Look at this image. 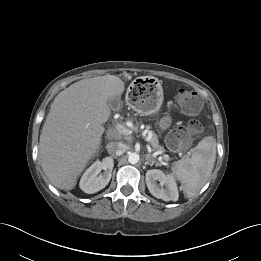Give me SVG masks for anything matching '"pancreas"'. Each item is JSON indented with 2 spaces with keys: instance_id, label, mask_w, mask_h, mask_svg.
I'll use <instances>...</instances> for the list:
<instances>
[{
  "instance_id": "obj_1",
  "label": "pancreas",
  "mask_w": 261,
  "mask_h": 261,
  "mask_svg": "<svg viewBox=\"0 0 261 261\" xmlns=\"http://www.w3.org/2000/svg\"><path fill=\"white\" fill-rule=\"evenodd\" d=\"M147 129H150V127L147 126ZM147 137L150 138L149 142H150V144L152 146V150L154 152H160V153L165 152L164 147L159 144L158 137L154 132L148 131ZM162 158L166 161H168L170 159L169 157H166L165 155H163Z\"/></svg>"
}]
</instances>
